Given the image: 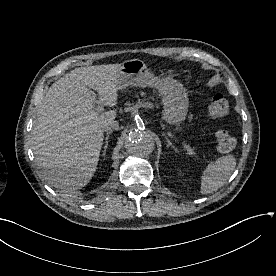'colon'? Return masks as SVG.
Wrapping results in <instances>:
<instances>
[{
    "instance_id": "obj_1",
    "label": "colon",
    "mask_w": 276,
    "mask_h": 276,
    "mask_svg": "<svg viewBox=\"0 0 276 276\" xmlns=\"http://www.w3.org/2000/svg\"><path fill=\"white\" fill-rule=\"evenodd\" d=\"M229 109L228 100L222 94H216L212 97L207 112L210 118L218 120L225 117ZM216 143L221 153H230L236 148L237 140L229 131L220 129L216 132Z\"/></svg>"
}]
</instances>
